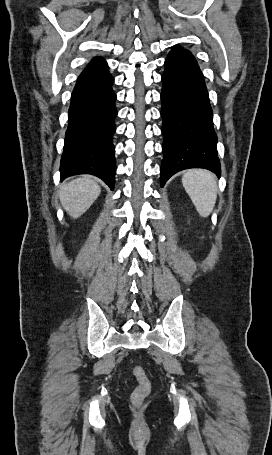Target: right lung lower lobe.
Listing matches in <instances>:
<instances>
[{
	"label": "right lung lower lobe",
	"mask_w": 272,
	"mask_h": 455,
	"mask_svg": "<svg viewBox=\"0 0 272 455\" xmlns=\"http://www.w3.org/2000/svg\"><path fill=\"white\" fill-rule=\"evenodd\" d=\"M109 71L77 80L71 95L61 180L76 174H92L111 189L115 183V157L112 135L116 94Z\"/></svg>",
	"instance_id": "98d812e1"
}]
</instances>
